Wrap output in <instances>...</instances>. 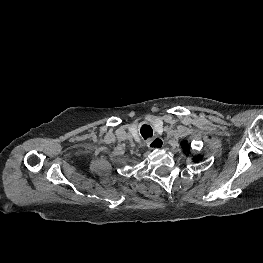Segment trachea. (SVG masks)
Wrapping results in <instances>:
<instances>
[{
    "instance_id": "3493384b",
    "label": "trachea",
    "mask_w": 263,
    "mask_h": 263,
    "mask_svg": "<svg viewBox=\"0 0 263 263\" xmlns=\"http://www.w3.org/2000/svg\"><path fill=\"white\" fill-rule=\"evenodd\" d=\"M140 133H141L142 137L146 140V139L152 137L153 130L149 125H143L140 129Z\"/></svg>"
}]
</instances>
